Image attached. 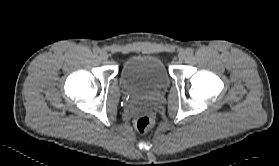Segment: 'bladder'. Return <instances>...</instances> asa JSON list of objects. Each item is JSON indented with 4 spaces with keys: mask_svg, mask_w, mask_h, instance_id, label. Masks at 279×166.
Segmentation results:
<instances>
[{
    "mask_svg": "<svg viewBox=\"0 0 279 166\" xmlns=\"http://www.w3.org/2000/svg\"><path fill=\"white\" fill-rule=\"evenodd\" d=\"M120 81L131 96L158 95L169 84L162 61L154 56H135L121 67Z\"/></svg>",
    "mask_w": 279,
    "mask_h": 166,
    "instance_id": "31cf9c89",
    "label": "bladder"
}]
</instances>
